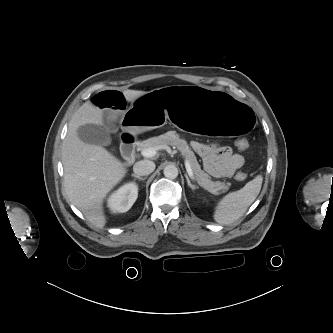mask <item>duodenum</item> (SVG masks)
<instances>
[{
	"mask_svg": "<svg viewBox=\"0 0 333 333\" xmlns=\"http://www.w3.org/2000/svg\"><path fill=\"white\" fill-rule=\"evenodd\" d=\"M137 138L130 133H124L121 140V152L127 163H132L135 160V149Z\"/></svg>",
	"mask_w": 333,
	"mask_h": 333,
	"instance_id": "obj_1",
	"label": "duodenum"
}]
</instances>
